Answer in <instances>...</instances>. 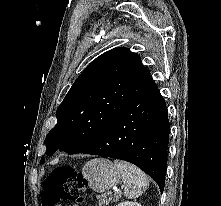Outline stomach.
<instances>
[{
	"mask_svg": "<svg viewBox=\"0 0 221 206\" xmlns=\"http://www.w3.org/2000/svg\"><path fill=\"white\" fill-rule=\"evenodd\" d=\"M89 187L104 192L116 186L121 179L118 168L108 159L96 158L86 163L82 169Z\"/></svg>",
	"mask_w": 221,
	"mask_h": 206,
	"instance_id": "0dacf381",
	"label": "stomach"
}]
</instances>
